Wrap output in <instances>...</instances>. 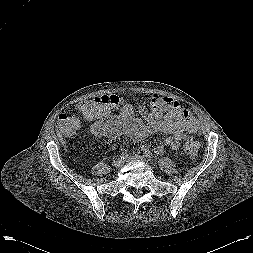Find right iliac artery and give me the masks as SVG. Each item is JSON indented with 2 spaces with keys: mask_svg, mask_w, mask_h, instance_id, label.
Instances as JSON below:
<instances>
[{
  "mask_svg": "<svg viewBox=\"0 0 253 253\" xmlns=\"http://www.w3.org/2000/svg\"><path fill=\"white\" fill-rule=\"evenodd\" d=\"M121 159H126L127 157H128V152L127 151H123L122 153H121Z\"/></svg>",
  "mask_w": 253,
  "mask_h": 253,
  "instance_id": "82829eb1",
  "label": "right iliac artery"
}]
</instances>
